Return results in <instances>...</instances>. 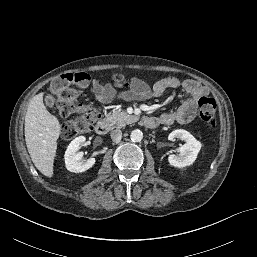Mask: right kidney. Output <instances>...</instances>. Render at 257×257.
Here are the masks:
<instances>
[{"instance_id":"1","label":"right kidney","mask_w":257,"mask_h":257,"mask_svg":"<svg viewBox=\"0 0 257 257\" xmlns=\"http://www.w3.org/2000/svg\"><path fill=\"white\" fill-rule=\"evenodd\" d=\"M86 138L79 136L73 139L65 151V165L70 172L80 173L90 169L96 162L94 157L82 159L83 152H78Z\"/></svg>"}]
</instances>
